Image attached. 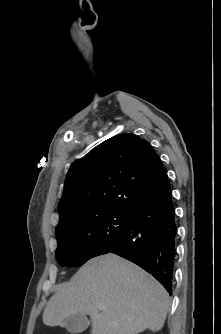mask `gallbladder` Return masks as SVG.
<instances>
[{
    "label": "gallbladder",
    "instance_id": "gallbladder-1",
    "mask_svg": "<svg viewBox=\"0 0 221 334\" xmlns=\"http://www.w3.org/2000/svg\"><path fill=\"white\" fill-rule=\"evenodd\" d=\"M89 326V320L84 314H75L65 320V328L71 334H79Z\"/></svg>",
    "mask_w": 221,
    "mask_h": 334
}]
</instances>
